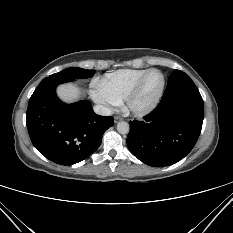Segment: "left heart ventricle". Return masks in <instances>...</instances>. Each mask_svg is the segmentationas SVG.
<instances>
[{"label":"left heart ventricle","mask_w":233,"mask_h":233,"mask_svg":"<svg viewBox=\"0 0 233 233\" xmlns=\"http://www.w3.org/2000/svg\"><path fill=\"white\" fill-rule=\"evenodd\" d=\"M162 84V77L158 72H152L144 81L143 87L135 104L143 106L148 104L159 92Z\"/></svg>","instance_id":"left-heart-ventricle-1"}]
</instances>
